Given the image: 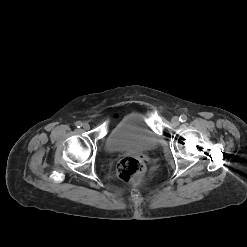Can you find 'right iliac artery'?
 <instances>
[{
	"mask_svg": "<svg viewBox=\"0 0 247 247\" xmlns=\"http://www.w3.org/2000/svg\"><path fill=\"white\" fill-rule=\"evenodd\" d=\"M75 125H76L77 128H80V127H82V122L77 121V122L75 123Z\"/></svg>",
	"mask_w": 247,
	"mask_h": 247,
	"instance_id": "82829eb1",
	"label": "right iliac artery"
}]
</instances>
